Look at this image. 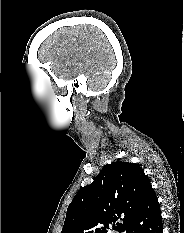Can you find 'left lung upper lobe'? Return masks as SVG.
Listing matches in <instances>:
<instances>
[{
  "label": "left lung upper lobe",
  "instance_id": "obj_1",
  "mask_svg": "<svg viewBox=\"0 0 184 233\" xmlns=\"http://www.w3.org/2000/svg\"><path fill=\"white\" fill-rule=\"evenodd\" d=\"M152 190L139 165L122 161L107 164L91 184L75 195L61 233L127 232ZM109 223H114L113 229Z\"/></svg>",
  "mask_w": 184,
  "mask_h": 233
}]
</instances>
